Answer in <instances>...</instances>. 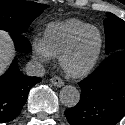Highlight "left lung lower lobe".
<instances>
[{
  "label": "left lung lower lobe",
  "mask_w": 125,
  "mask_h": 125,
  "mask_svg": "<svg viewBox=\"0 0 125 125\" xmlns=\"http://www.w3.org/2000/svg\"><path fill=\"white\" fill-rule=\"evenodd\" d=\"M79 103L65 110L71 125H116L125 116V50L111 53L86 79Z\"/></svg>",
  "instance_id": "1"
}]
</instances>
